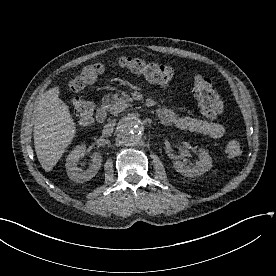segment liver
Here are the masks:
<instances>
[{"instance_id":"6515ba94","label":"liver","mask_w":276,"mask_h":276,"mask_svg":"<svg viewBox=\"0 0 276 276\" xmlns=\"http://www.w3.org/2000/svg\"><path fill=\"white\" fill-rule=\"evenodd\" d=\"M59 87L50 88L34 108V145L45 171H51L76 135L69 107L60 98Z\"/></svg>"}]
</instances>
